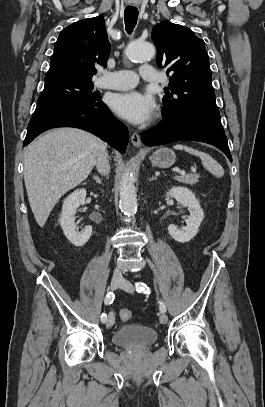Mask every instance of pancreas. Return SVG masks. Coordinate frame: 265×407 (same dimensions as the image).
Wrapping results in <instances>:
<instances>
[{
	"label": "pancreas",
	"mask_w": 265,
	"mask_h": 407,
	"mask_svg": "<svg viewBox=\"0 0 265 407\" xmlns=\"http://www.w3.org/2000/svg\"><path fill=\"white\" fill-rule=\"evenodd\" d=\"M199 174H187L182 176H177L175 179L178 182L194 185L199 181Z\"/></svg>",
	"instance_id": "cf45deb5"
}]
</instances>
